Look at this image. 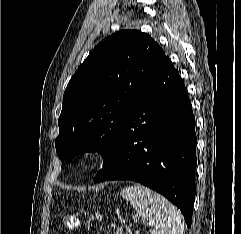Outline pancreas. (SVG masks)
<instances>
[{"label":"pancreas","instance_id":"pancreas-1","mask_svg":"<svg viewBox=\"0 0 241 234\" xmlns=\"http://www.w3.org/2000/svg\"><path fill=\"white\" fill-rule=\"evenodd\" d=\"M113 234H123V232L116 230V232H114Z\"/></svg>","mask_w":241,"mask_h":234}]
</instances>
